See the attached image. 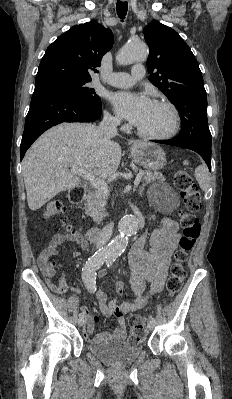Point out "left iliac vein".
Returning <instances> with one entry per match:
<instances>
[{"label":"left iliac vein","mask_w":232,"mask_h":399,"mask_svg":"<svg viewBox=\"0 0 232 399\" xmlns=\"http://www.w3.org/2000/svg\"><path fill=\"white\" fill-rule=\"evenodd\" d=\"M155 323L154 322H150L149 325H147V329H149L150 331H152V328H154Z\"/></svg>","instance_id":"4c4485c4"}]
</instances>
